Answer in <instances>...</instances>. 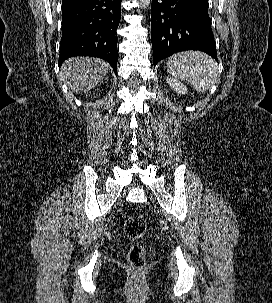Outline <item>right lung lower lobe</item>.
<instances>
[{
    "label": "right lung lower lobe",
    "mask_w": 272,
    "mask_h": 303,
    "mask_svg": "<svg viewBox=\"0 0 272 303\" xmlns=\"http://www.w3.org/2000/svg\"><path fill=\"white\" fill-rule=\"evenodd\" d=\"M121 0H80L62 7V38L58 64L72 56L109 62L117 73V34Z\"/></svg>",
    "instance_id": "obj_1"
}]
</instances>
